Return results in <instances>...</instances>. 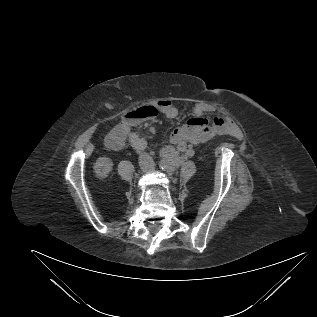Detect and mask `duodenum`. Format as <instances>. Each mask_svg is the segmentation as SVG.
Instances as JSON below:
<instances>
[{"instance_id":"duodenum-1","label":"duodenum","mask_w":317,"mask_h":317,"mask_svg":"<svg viewBox=\"0 0 317 317\" xmlns=\"http://www.w3.org/2000/svg\"><path fill=\"white\" fill-rule=\"evenodd\" d=\"M120 143H122V138L120 136L114 135L110 138V141H109L110 147L117 149Z\"/></svg>"}]
</instances>
